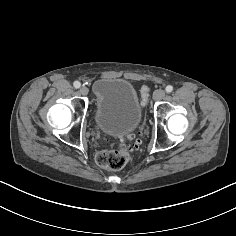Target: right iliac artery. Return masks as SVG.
<instances>
[{
    "mask_svg": "<svg viewBox=\"0 0 236 236\" xmlns=\"http://www.w3.org/2000/svg\"><path fill=\"white\" fill-rule=\"evenodd\" d=\"M73 85H74L75 88H79L81 86L80 82H78V81H75L73 83Z\"/></svg>",
    "mask_w": 236,
    "mask_h": 236,
    "instance_id": "obj_1",
    "label": "right iliac artery"
}]
</instances>
